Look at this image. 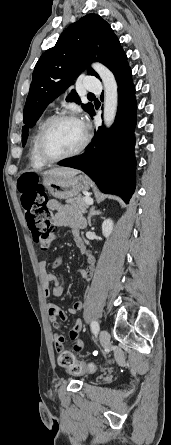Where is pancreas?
I'll return each mask as SVG.
<instances>
[{"mask_svg": "<svg viewBox=\"0 0 171 445\" xmlns=\"http://www.w3.org/2000/svg\"><path fill=\"white\" fill-rule=\"evenodd\" d=\"M88 208V204L85 202V198L76 197L67 200V204L64 206V211L69 215L70 220L74 221L82 215Z\"/></svg>", "mask_w": 171, "mask_h": 445, "instance_id": "cf45deb5", "label": "pancreas"}]
</instances>
